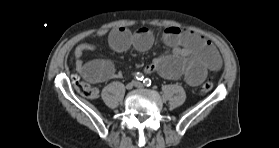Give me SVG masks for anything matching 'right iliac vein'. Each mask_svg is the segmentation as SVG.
Returning <instances> with one entry per match:
<instances>
[{"mask_svg": "<svg viewBox=\"0 0 279 148\" xmlns=\"http://www.w3.org/2000/svg\"><path fill=\"white\" fill-rule=\"evenodd\" d=\"M133 86H134V83H128L126 85V89L131 90L133 88Z\"/></svg>", "mask_w": 279, "mask_h": 148, "instance_id": "obj_1", "label": "right iliac vein"}]
</instances>
